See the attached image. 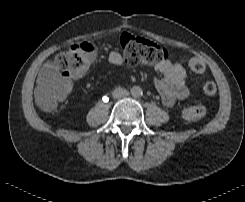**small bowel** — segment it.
Segmentation results:
<instances>
[{
  "mask_svg": "<svg viewBox=\"0 0 245 202\" xmlns=\"http://www.w3.org/2000/svg\"><path fill=\"white\" fill-rule=\"evenodd\" d=\"M107 60L112 65H120L123 62L122 55L115 50L107 54ZM155 69L159 73L155 79V87L165 106L171 107L177 100H185L188 97L187 72L180 63L163 60L155 65ZM54 81L55 77L51 71L40 72L37 78V92ZM64 84L68 88L69 95L74 83L72 79L66 78Z\"/></svg>",
  "mask_w": 245,
  "mask_h": 202,
  "instance_id": "c3829d8e",
  "label": "small bowel"
}]
</instances>
